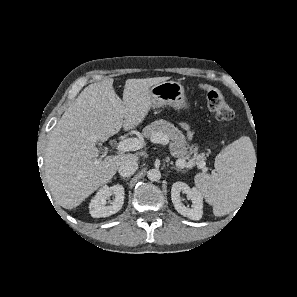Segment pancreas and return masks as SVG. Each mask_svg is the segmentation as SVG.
Returning a JSON list of instances; mask_svg holds the SVG:
<instances>
[{
  "label": "pancreas",
  "mask_w": 297,
  "mask_h": 297,
  "mask_svg": "<svg viewBox=\"0 0 297 297\" xmlns=\"http://www.w3.org/2000/svg\"><path fill=\"white\" fill-rule=\"evenodd\" d=\"M161 132L167 135L168 139L172 141L171 143V153L173 156L178 158H189L192 154L196 156L198 148H191L186 141V138L182 131L175 127L172 123L160 119L152 122L150 125L143 129V136L146 138H151L153 134ZM205 158L199 156L190 162L193 165H199L203 163ZM205 171V168H202Z\"/></svg>",
  "instance_id": "obj_1"
}]
</instances>
